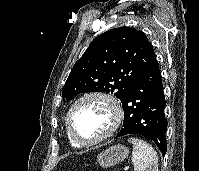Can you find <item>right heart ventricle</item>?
<instances>
[{
	"instance_id": "obj_1",
	"label": "right heart ventricle",
	"mask_w": 199,
	"mask_h": 171,
	"mask_svg": "<svg viewBox=\"0 0 199 171\" xmlns=\"http://www.w3.org/2000/svg\"><path fill=\"white\" fill-rule=\"evenodd\" d=\"M67 137H68V140L70 142V144L74 147H80L79 144H77L75 141L72 140V138L69 136L68 132H67Z\"/></svg>"
}]
</instances>
